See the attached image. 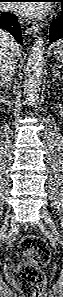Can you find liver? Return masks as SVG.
<instances>
[{"label": "liver", "mask_w": 63, "mask_h": 297, "mask_svg": "<svg viewBox=\"0 0 63 297\" xmlns=\"http://www.w3.org/2000/svg\"><path fill=\"white\" fill-rule=\"evenodd\" d=\"M12 40H13V37L9 33L3 30L0 31V54L2 51L10 47ZM15 52H16V55L18 56L21 55V48L17 43L15 45Z\"/></svg>", "instance_id": "obj_1"}]
</instances>
